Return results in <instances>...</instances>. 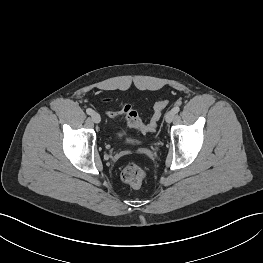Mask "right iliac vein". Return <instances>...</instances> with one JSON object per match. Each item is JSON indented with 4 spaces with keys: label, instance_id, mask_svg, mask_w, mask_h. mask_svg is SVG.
I'll return each mask as SVG.
<instances>
[{
    "label": "right iliac vein",
    "instance_id": "1",
    "mask_svg": "<svg viewBox=\"0 0 263 263\" xmlns=\"http://www.w3.org/2000/svg\"><path fill=\"white\" fill-rule=\"evenodd\" d=\"M91 119H92V121H93L94 123H100V121H101V116H100L99 113L93 112V113L91 114Z\"/></svg>",
    "mask_w": 263,
    "mask_h": 263
}]
</instances>
